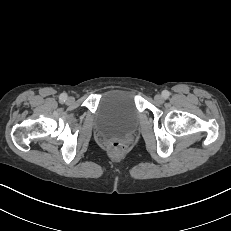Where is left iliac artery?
I'll return each instance as SVG.
<instances>
[{
  "mask_svg": "<svg viewBox=\"0 0 231 231\" xmlns=\"http://www.w3.org/2000/svg\"><path fill=\"white\" fill-rule=\"evenodd\" d=\"M162 96H163V98L167 99L170 96V92L168 90H163Z\"/></svg>",
  "mask_w": 231,
  "mask_h": 231,
  "instance_id": "obj_1",
  "label": "left iliac artery"
}]
</instances>
